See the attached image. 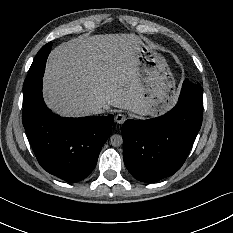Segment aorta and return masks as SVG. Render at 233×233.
<instances>
[{
	"instance_id": "762f6f07",
	"label": "aorta",
	"mask_w": 233,
	"mask_h": 233,
	"mask_svg": "<svg viewBox=\"0 0 233 233\" xmlns=\"http://www.w3.org/2000/svg\"><path fill=\"white\" fill-rule=\"evenodd\" d=\"M122 143H123L122 136L118 134H114L110 137V144L112 146L119 147L120 145H122Z\"/></svg>"
}]
</instances>
